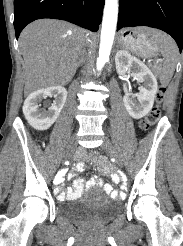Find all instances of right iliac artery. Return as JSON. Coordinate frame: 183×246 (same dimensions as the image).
<instances>
[{
	"label": "right iliac artery",
	"mask_w": 183,
	"mask_h": 246,
	"mask_svg": "<svg viewBox=\"0 0 183 246\" xmlns=\"http://www.w3.org/2000/svg\"><path fill=\"white\" fill-rule=\"evenodd\" d=\"M62 175H64L63 171H61L57 174V176L54 179V184H57L59 182V180L62 178Z\"/></svg>",
	"instance_id": "82829eb1"
}]
</instances>
